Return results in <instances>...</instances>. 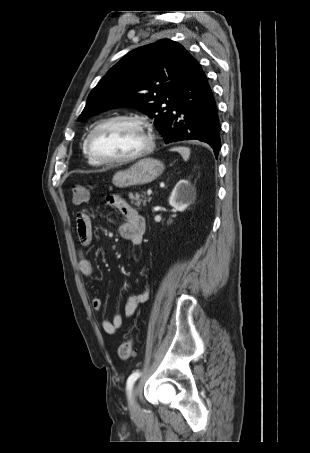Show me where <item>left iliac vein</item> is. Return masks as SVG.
<instances>
[{"label":"left iliac vein","mask_w":310,"mask_h":453,"mask_svg":"<svg viewBox=\"0 0 310 453\" xmlns=\"http://www.w3.org/2000/svg\"><path fill=\"white\" fill-rule=\"evenodd\" d=\"M137 394H138V390L137 388L135 387L132 392H131V397H130V411L133 415H136L138 414V412L140 411V407H139V404L137 402Z\"/></svg>","instance_id":"4c4485c4"}]
</instances>
